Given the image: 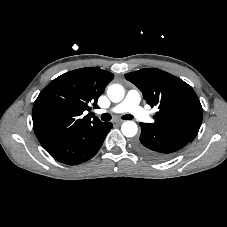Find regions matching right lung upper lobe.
Masks as SVG:
<instances>
[{
	"instance_id": "1",
	"label": "right lung upper lobe",
	"mask_w": 227,
	"mask_h": 227,
	"mask_svg": "<svg viewBox=\"0 0 227 227\" xmlns=\"http://www.w3.org/2000/svg\"><path fill=\"white\" fill-rule=\"evenodd\" d=\"M113 77L100 68H81L62 74L40 92L32 119L34 132L45 150L81 129L102 123L82 114L98 108L97 100Z\"/></svg>"
}]
</instances>
